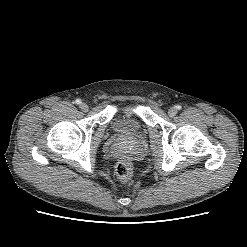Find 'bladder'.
<instances>
[{"instance_id":"bladder-1","label":"bladder","mask_w":247,"mask_h":247,"mask_svg":"<svg viewBox=\"0 0 247 247\" xmlns=\"http://www.w3.org/2000/svg\"><path fill=\"white\" fill-rule=\"evenodd\" d=\"M112 126L114 131L126 137H135L143 131L141 121L137 117L126 114L115 116Z\"/></svg>"}]
</instances>
